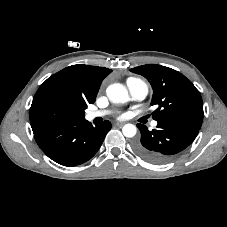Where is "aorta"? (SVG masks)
Segmentation results:
<instances>
[{
  "mask_svg": "<svg viewBox=\"0 0 227 227\" xmlns=\"http://www.w3.org/2000/svg\"><path fill=\"white\" fill-rule=\"evenodd\" d=\"M106 94L112 103H125L128 101V91L126 87L120 83H114L107 87ZM125 137H134L137 129L133 124H125L122 128Z\"/></svg>",
  "mask_w": 227,
  "mask_h": 227,
  "instance_id": "762f6f07",
  "label": "aorta"
}]
</instances>
